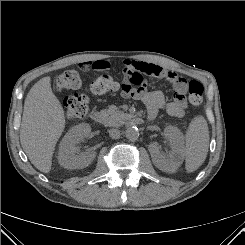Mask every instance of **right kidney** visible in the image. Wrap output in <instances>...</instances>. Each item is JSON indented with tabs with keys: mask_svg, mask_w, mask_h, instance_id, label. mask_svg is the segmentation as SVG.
<instances>
[{
	"mask_svg": "<svg viewBox=\"0 0 245 245\" xmlns=\"http://www.w3.org/2000/svg\"><path fill=\"white\" fill-rule=\"evenodd\" d=\"M91 132L89 124L82 123L72 127L60 143L58 161L66 169L87 167L94 160L96 152L79 154L77 144L87 138Z\"/></svg>",
	"mask_w": 245,
	"mask_h": 245,
	"instance_id": "1",
	"label": "right kidney"
}]
</instances>
